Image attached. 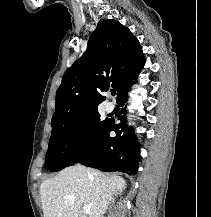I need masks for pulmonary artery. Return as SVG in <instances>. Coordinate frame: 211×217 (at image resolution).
I'll use <instances>...</instances> for the list:
<instances>
[{
  "instance_id": "e3ab8cb5",
  "label": "pulmonary artery",
  "mask_w": 211,
  "mask_h": 217,
  "mask_svg": "<svg viewBox=\"0 0 211 217\" xmlns=\"http://www.w3.org/2000/svg\"><path fill=\"white\" fill-rule=\"evenodd\" d=\"M105 110L107 111V112H112L113 110H114V105H113V103H111V102H108L106 105H105Z\"/></svg>"
}]
</instances>
